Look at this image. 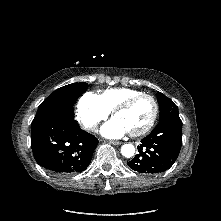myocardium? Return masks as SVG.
I'll return each instance as SVG.
<instances>
[{
	"instance_id": "myocardium-1",
	"label": "myocardium",
	"mask_w": 221,
	"mask_h": 221,
	"mask_svg": "<svg viewBox=\"0 0 221 221\" xmlns=\"http://www.w3.org/2000/svg\"><path fill=\"white\" fill-rule=\"evenodd\" d=\"M142 98H148L152 101L153 114H152L150 121L142 129L135 131V132H129L130 136H132V137H140V136L145 135L155 125L158 115H159V104H158L157 99L151 94L140 93V94H137L135 96H132V97L126 99L125 101H123L122 103L117 105L115 109L112 110V115H113V117H115L119 112L129 109L135 102H137L138 100H140Z\"/></svg>"
}]
</instances>
